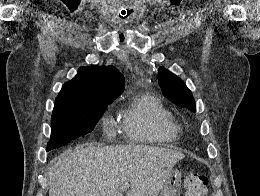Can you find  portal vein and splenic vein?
<instances>
[{
  "label": "portal vein and splenic vein",
  "instance_id": "obj_1",
  "mask_svg": "<svg viewBox=\"0 0 260 196\" xmlns=\"http://www.w3.org/2000/svg\"><path fill=\"white\" fill-rule=\"evenodd\" d=\"M128 188H130V184H123V186H121V190H128Z\"/></svg>",
  "mask_w": 260,
  "mask_h": 196
}]
</instances>
